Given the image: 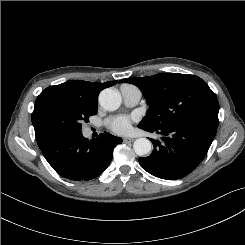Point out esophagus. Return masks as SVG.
<instances>
[{
    "instance_id": "obj_1",
    "label": "esophagus",
    "mask_w": 245,
    "mask_h": 245,
    "mask_svg": "<svg viewBox=\"0 0 245 245\" xmlns=\"http://www.w3.org/2000/svg\"><path fill=\"white\" fill-rule=\"evenodd\" d=\"M134 138H130V137H125L123 138V142L128 143V142H133Z\"/></svg>"
}]
</instances>
